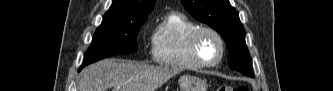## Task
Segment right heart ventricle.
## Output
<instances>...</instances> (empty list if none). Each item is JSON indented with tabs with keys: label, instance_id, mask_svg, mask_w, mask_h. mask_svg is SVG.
Listing matches in <instances>:
<instances>
[{
	"label": "right heart ventricle",
	"instance_id": "e07e8e85",
	"mask_svg": "<svg viewBox=\"0 0 333 91\" xmlns=\"http://www.w3.org/2000/svg\"><path fill=\"white\" fill-rule=\"evenodd\" d=\"M197 28L198 25L183 14H167L153 35V60L176 70L201 68L190 52V36Z\"/></svg>",
	"mask_w": 333,
	"mask_h": 91
}]
</instances>
